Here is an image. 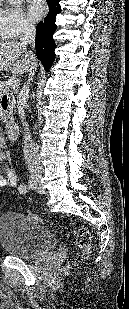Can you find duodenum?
<instances>
[{"label":"duodenum","mask_w":129,"mask_h":309,"mask_svg":"<svg viewBox=\"0 0 129 309\" xmlns=\"http://www.w3.org/2000/svg\"><path fill=\"white\" fill-rule=\"evenodd\" d=\"M2 108L4 111H7L9 109V104L7 102H2ZM18 124L15 121V119L13 118H9L6 123H5V133L6 136L10 139V140H14L16 139L17 135H18Z\"/></svg>","instance_id":"410a0bca"}]
</instances>
